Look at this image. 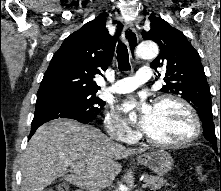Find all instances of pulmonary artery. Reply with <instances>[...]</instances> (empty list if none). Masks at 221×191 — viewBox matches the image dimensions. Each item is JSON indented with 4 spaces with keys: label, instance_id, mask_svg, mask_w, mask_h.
<instances>
[{
    "label": "pulmonary artery",
    "instance_id": "obj_1",
    "mask_svg": "<svg viewBox=\"0 0 221 191\" xmlns=\"http://www.w3.org/2000/svg\"><path fill=\"white\" fill-rule=\"evenodd\" d=\"M152 71L149 67H141L134 76L117 80L108 90L112 93H128L135 90L143 83L150 81Z\"/></svg>",
    "mask_w": 221,
    "mask_h": 191
}]
</instances>
